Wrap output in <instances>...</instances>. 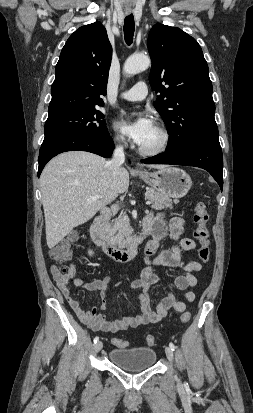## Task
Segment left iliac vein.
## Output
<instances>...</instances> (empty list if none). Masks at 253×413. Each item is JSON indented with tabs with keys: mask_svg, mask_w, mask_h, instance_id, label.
Masks as SVG:
<instances>
[{
	"mask_svg": "<svg viewBox=\"0 0 253 413\" xmlns=\"http://www.w3.org/2000/svg\"><path fill=\"white\" fill-rule=\"evenodd\" d=\"M165 353H166V356H167L168 360L170 361V363H173L174 355H173V351L171 350V348L166 347L165 348Z\"/></svg>",
	"mask_w": 253,
	"mask_h": 413,
	"instance_id": "left-iliac-vein-1",
	"label": "left iliac vein"
}]
</instances>
